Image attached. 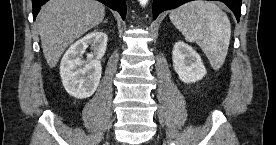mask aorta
I'll return each instance as SVG.
<instances>
[{
  "instance_id": "762f6f07",
  "label": "aorta",
  "mask_w": 276,
  "mask_h": 145,
  "mask_svg": "<svg viewBox=\"0 0 276 145\" xmlns=\"http://www.w3.org/2000/svg\"><path fill=\"white\" fill-rule=\"evenodd\" d=\"M139 3L141 6L145 7L146 4L148 3V0H139Z\"/></svg>"
}]
</instances>
